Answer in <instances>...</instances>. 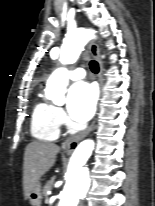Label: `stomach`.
<instances>
[{
	"label": "stomach",
	"mask_w": 155,
	"mask_h": 206,
	"mask_svg": "<svg viewBox=\"0 0 155 206\" xmlns=\"http://www.w3.org/2000/svg\"><path fill=\"white\" fill-rule=\"evenodd\" d=\"M28 199L32 206H41L42 203V192H41V184L40 182H36L34 187L32 188Z\"/></svg>",
	"instance_id": "1"
}]
</instances>
